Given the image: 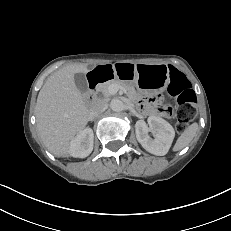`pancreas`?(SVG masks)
<instances>
[{
    "mask_svg": "<svg viewBox=\"0 0 231 231\" xmlns=\"http://www.w3.org/2000/svg\"><path fill=\"white\" fill-rule=\"evenodd\" d=\"M112 85H117L119 88L124 89L126 91L127 96L130 99H134V97L136 95L135 88L133 86H131L130 84H128L124 81L118 80V79L100 85L99 90L103 93V95L105 97H108V96L112 95V93L110 91V87Z\"/></svg>",
    "mask_w": 231,
    "mask_h": 231,
    "instance_id": "cf45deb5",
    "label": "pancreas"
}]
</instances>
